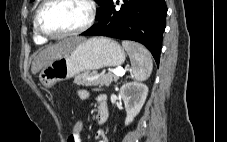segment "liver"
I'll list each match as a JSON object with an SVG mask.
<instances>
[{"mask_svg": "<svg viewBox=\"0 0 227 142\" xmlns=\"http://www.w3.org/2000/svg\"><path fill=\"white\" fill-rule=\"evenodd\" d=\"M85 41L83 37L66 38L54 45L46 47L34 59L31 66L33 75L37 74L41 69L51 64L55 59L72 51L78 44Z\"/></svg>", "mask_w": 227, "mask_h": 142, "instance_id": "6515ba94", "label": "liver"}]
</instances>
